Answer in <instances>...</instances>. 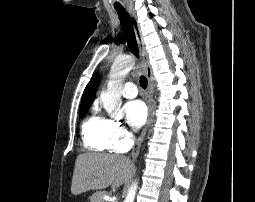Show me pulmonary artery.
<instances>
[{"mask_svg": "<svg viewBox=\"0 0 255 202\" xmlns=\"http://www.w3.org/2000/svg\"><path fill=\"white\" fill-rule=\"evenodd\" d=\"M138 94L137 87L132 82H127L123 89H122V95L125 98H135Z\"/></svg>", "mask_w": 255, "mask_h": 202, "instance_id": "e3ab8cb5", "label": "pulmonary artery"}]
</instances>
